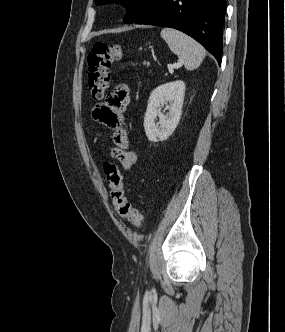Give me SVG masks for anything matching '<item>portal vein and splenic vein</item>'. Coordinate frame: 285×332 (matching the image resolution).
<instances>
[{"label": "portal vein and splenic vein", "mask_w": 285, "mask_h": 332, "mask_svg": "<svg viewBox=\"0 0 285 332\" xmlns=\"http://www.w3.org/2000/svg\"><path fill=\"white\" fill-rule=\"evenodd\" d=\"M182 65V62H178L176 65H171V64H168V68L169 69H173L174 67H179Z\"/></svg>", "instance_id": "obj_1"}]
</instances>
